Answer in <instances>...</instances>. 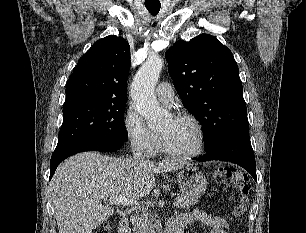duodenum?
<instances>
[{"mask_svg": "<svg viewBox=\"0 0 306 233\" xmlns=\"http://www.w3.org/2000/svg\"><path fill=\"white\" fill-rule=\"evenodd\" d=\"M182 229L178 225H170L169 233H181ZM118 233H131L129 221L123 217L118 222Z\"/></svg>", "mask_w": 306, "mask_h": 233, "instance_id": "obj_1", "label": "duodenum"}]
</instances>
